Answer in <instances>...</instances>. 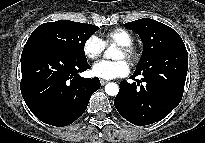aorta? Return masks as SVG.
Listing matches in <instances>:
<instances>
[{"label": "aorta", "instance_id": "762f6f07", "mask_svg": "<svg viewBox=\"0 0 205 143\" xmlns=\"http://www.w3.org/2000/svg\"><path fill=\"white\" fill-rule=\"evenodd\" d=\"M113 49L112 48H108L105 52V57L106 58H111V53H112ZM105 92L106 94L110 95V96H116L119 92V86L116 83H108L105 86Z\"/></svg>", "mask_w": 205, "mask_h": 143}]
</instances>
